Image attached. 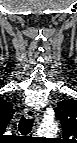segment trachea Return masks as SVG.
Returning <instances> with one entry per match:
<instances>
[{
    "instance_id": "3493384b",
    "label": "trachea",
    "mask_w": 77,
    "mask_h": 143,
    "mask_svg": "<svg viewBox=\"0 0 77 143\" xmlns=\"http://www.w3.org/2000/svg\"><path fill=\"white\" fill-rule=\"evenodd\" d=\"M34 120L33 119H27L24 116L19 121V131L22 135H27L31 132L33 127Z\"/></svg>"
}]
</instances>
